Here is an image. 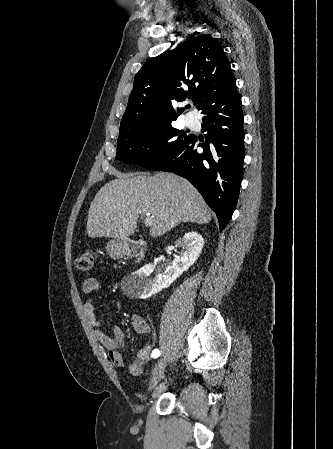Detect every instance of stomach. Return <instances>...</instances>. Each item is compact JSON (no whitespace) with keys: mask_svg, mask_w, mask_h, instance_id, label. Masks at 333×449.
I'll return each mask as SVG.
<instances>
[{"mask_svg":"<svg viewBox=\"0 0 333 449\" xmlns=\"http://www.w3.org/2000/svg\"><path fill=\"white\" fill-rule=\"evenodd\" d=\"M106 250L113 258H119L125 254V249L120 240H112L107 243Z\"/></svg>","mask_w":333,"mask_h":449,"instance_id":"stomach-1","label":"stomach"}]
</instances>
